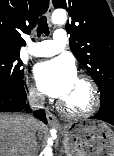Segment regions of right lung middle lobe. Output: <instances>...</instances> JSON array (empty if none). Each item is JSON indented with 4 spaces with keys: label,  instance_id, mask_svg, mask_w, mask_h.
<instances>
[{
    "label": "right lung middle lobe",
    "instance_id": "right-lung-middle-lobe-1",
    "mask_svg": "<svg viewBox=\"0 0 114 156\" xmlns=\"http://www.w3.org/2000/svg\"><path fill=\"white\" fill-rule=\"evenodd\" d=\"M19 54L0 53V92L16 93L24 89Z\"/></svg>",
    "mask_w": 114,
    "mask_h": 156
}]
</instances>
